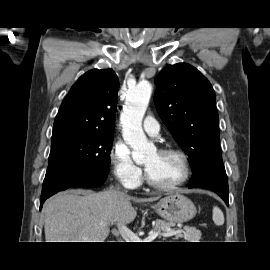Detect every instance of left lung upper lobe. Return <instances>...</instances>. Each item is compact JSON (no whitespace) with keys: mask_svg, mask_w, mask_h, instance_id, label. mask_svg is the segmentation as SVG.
Returning a JSON list of instances; mask_svg holds the SVG:
<instances>
[{"mask_svg":"<svg viewBox=\"0 0 270 270\" xmlns=\"http://www.w3.org/2000/svg\"><path fill=\"white\" fill-rule=\"evenodd\" d=\"M154 102L159 116L190 157L196 180L212 167H224L219 145L216 96L195 67L168 65L155 78Z\"/></svg>","mask_w":270,"mask_h":270,"instance_id":"left-lung-upper-lobe-1","label":"left lung upper lobe"}]
</instances>
